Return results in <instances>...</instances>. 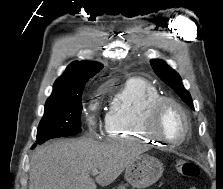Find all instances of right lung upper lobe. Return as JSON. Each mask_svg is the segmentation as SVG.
<instances>
[{
	"instance_id": "obj_1",
	"label": "right lung upper lobe",
	"mask_w": 223,
	"mask_h": 189,
	"mask_svg": "<svg viewBox=\"0 0 223 189\" xmlns=\"http://www.w3.org/2000/svg\"><path fill=\"white\" fill-rule=\"evenodd\" d=\"M102 68L103 65L96 62H72L56 80L51 95H71L83 90L88 80Z\"/></svg>"
}]
</instances>
